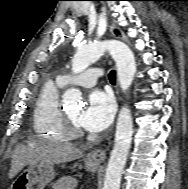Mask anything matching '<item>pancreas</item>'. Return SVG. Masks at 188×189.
Segmentation results:
<instances>
[{"label": "pancreas", "instance_id": "cf45deb5", "mask_svg": "<svg viewBox=\"0 0 188 189\" xmlns=\"http://www.w3.org/2000/svg\"><path fill=\"white\" fill-rule=\"evenodd\" d=\"M61 186H62V181L60 180L53 184V189H59L61 188Z\"/></svg>", "mask_w": 188, "mask_h": 189}]
</instances>
